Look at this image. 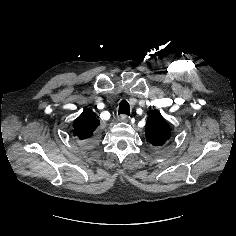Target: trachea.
I'll list each match as a JSON object with an SVG mask.
<instances>
[{"instance_id":"1","label":"trachea","mask_w":236,"mask_h":236,"mask_svg":"<svg viewBox=\"0 0 236 236\" xmlns=\"http://www.w3.org/2000/svg\"><path fill=\"white\" fill-rule=\"evenodd\" d=\"M119 114L130 115V106L127 101L122 100L119 104Z\"/></svg>"}]
</instances>
